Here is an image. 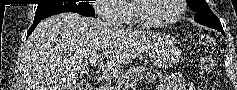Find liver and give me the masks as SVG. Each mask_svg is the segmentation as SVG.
<instances>
[{
	"mask_svg": "<svg viewBox=\"0 0 237 90\" xmlns=\"http://www.w3.org/2000/svg\"><path fill=\"white\" fill-rule=\"evenodd\" d=\"M159 40V34L119 28L117 22L68 12L51 16L27 40L21 60L25 90H82L77 72L90 62L102 72H118Z\"/></svg>",
	"mask_w": 237,
	"mask_h": 90,
	"instance_id": "1",
	"label": "liver"
}]
</instances>
